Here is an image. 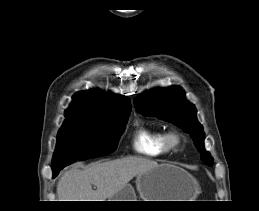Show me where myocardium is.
<instances>
[{
  "label": "myocardium",
  "mask_w": 259,
  "mask_h": 211,
  "mask_svg": "<svg viewBox=\"0 0 259 211\" xmlns=\"http://www.w3.org/2000/svg\"><path fill=\"white\" fill-rule=\"evenodd\" d=\"M165 141L169 151H178L183 146V136L176 130L166 132Z\"/></svg>",
  "instance_id": "f54148a6"
}]
</instances>
